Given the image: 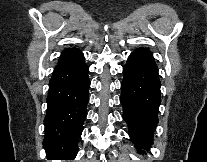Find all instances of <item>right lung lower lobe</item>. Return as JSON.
Instances as JSON below:
<instances>
[{
  "instance_id": "right-lung-lower-lobe-1",
  "label": "right lung lower lobe",
  "mask_w": 207,
  "mask_h": 162,
  "mask_svg": "<svg viewBox=\"0 0 207 162\" xmlns=\"http://www.w3.org/2000/svg\"><path fill=\"white\" fill-rule=\"evenodd\" d=\"M89 68L83 54L58 63L49 82L43 142L48 160H73L89 101Z\"/></svg>"
}]
</instances>
